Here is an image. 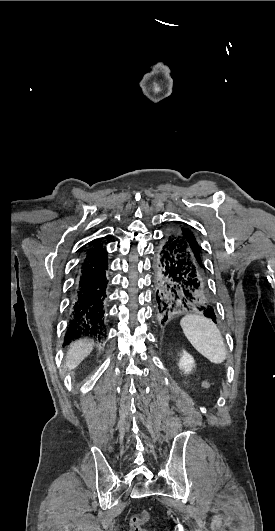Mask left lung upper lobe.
Here are the masks:
<instances>
[{"mask_svg":"<svg viewBox=\"0 0 275 531\" xmlns=\"http://www.w3.org/2000/svg\"><path fill=\"white\" fill-rule=\"evenodd\" d=\"M179 230L181 231V233L183 234V236L186 238L187 242L189 243L196 259H197V262L198 264L203 267V264H202V260H201V256H200V251H199V245L196 241V238L194 237L193 233L188 229V228H185V227H180Z\"/></svg>","mask_w":275,"mask_h":531,"instance_id":"1","label":"left lung upper lobe"}]
</instances>
